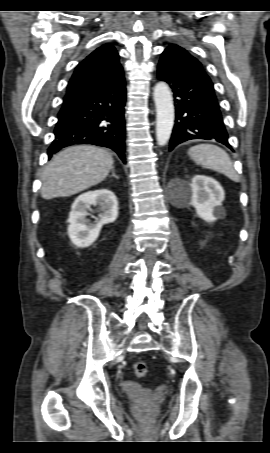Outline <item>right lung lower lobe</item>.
Instances as JSON below:
<instances>
[{
  "mask_svg": "<svg viewBox=\"0 0 270 453\" xmlns=\"http://www.w3.org/2000/svg\"><path fill=\"white\" fill-rule=\"evenodd\" d=\"M125 98L123 73L96 90L66 94L49 159L67 146L93 144L111 148L125 162Z\"/></svg>",
  "mask_w": 270,
  "mask_h": 453,
  "instance_id": "right-lung-lower-lobe-1",
  "label": "right lung lower lobe"
}]
</instances>
